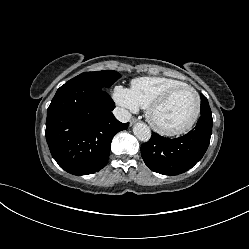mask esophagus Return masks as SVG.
<instances>
[{
    "mask_svg": "<svg viewBox=\"0 0 249 249\" xmlns=\"http://www.w3.org/2000/svg\"><path fill=\"white\" fill-rule=\"evenodd\" d=\"M138 120L136 118H133L131 121H130V125H134Z\"/></svg>",
    "mask_w": 249,
    "mask_h": 249,
    "instance_id": "esophagus-1",
    "label": "esophagus"
}]
</instances>
